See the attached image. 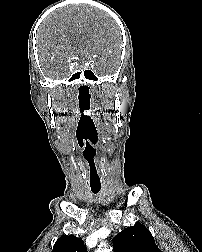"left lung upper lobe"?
I'll list each match as a JSON object with an SVG mask.
<instances>
[{
  "label": "left lung upper lobe",
  "mask_w": 202,
  "mask_h": 252,
  "mask_svg": "<svg viewBox=\"0 0 202 252\" xmlns=\"http://www.w3.org/2000/svg\"><path fill=\"white\" fill-rule=\"evenodd\" d=\"M115 252H162L150 231L141 223L127 227L113 239Z\"/></svg>",
  "instance_id": "obj_1"
}]
</instances>
